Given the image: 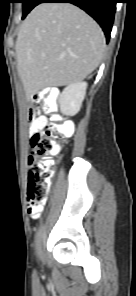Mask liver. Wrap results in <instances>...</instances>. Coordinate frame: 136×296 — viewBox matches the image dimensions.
Segmentation results:
<instances>
[{
  "label": "liver",
  "mask_w": 136,
  "mask_h": 296,
  "mask_svg": "<svg viewBox=\"0 0 136 296\" xmlns=\"http://www.w3.org/2000/svg\"><path fill=\"white\" fill-rule=\"evenodd\" d=\"M105 37L100 26L70 3H41L22 23L17 70L28 99L44 87L86 78L100 64Z\"/></svg>",
  "instance_id": "liver-1"
}]
</instances>
